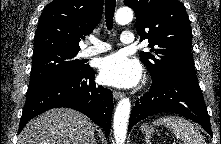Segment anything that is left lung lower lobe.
<instances>
[{"label":"left lung lower lobe","mask_w":221,"mask_h":144,"mask_svg":"<svg viewBox=\"0 0 221 144\" xmlns=\"http://www.w3.org/2000/svg\"><path fill=\"white\" fill-rule=\"evenodd\" d=\"M161 112H172L199 123L211 136L210 120L198 79L178 74L152 77V85L133 106L129 131L139 121Z\"/></svg>","instance_id":"0a47b994"}]
</instances>
